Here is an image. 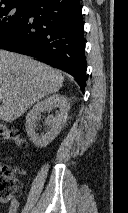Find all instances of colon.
<instances>
[{"mask_svg":"<svg viewBox=\"0 0 128 213\" xmlns=\"http://www.w3.org/2000/svg\"><path fill=\"white\" fill-rule=\"evenodd\" d=\"M0 138L20 146L25 144L17 129L11 128L2 122H0ZM19 173V170L9 166L0 167V202L6 203L20 196L21 186L17 177Z\"/></svg>","mask_w":128,"mask_h":213,"instance_id":"5ec220e1","label":"colon"}]
</instances>
